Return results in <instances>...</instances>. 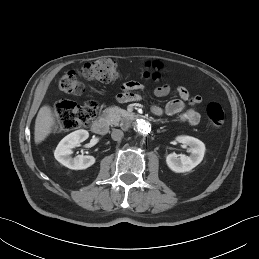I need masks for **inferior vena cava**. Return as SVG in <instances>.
<instances>
[{"label": "inferior vena cava", "instance_id": "602c4592", "mask_svg": "<svg viewBox=\"0 0 259 259\" xmlns=\"http://www.w3.org/2000/svg\"><path fill=\"white\" fill-rule=\"evenodd\" d=\"M123 136H124V133L120 129H113V131L111 133V137L115 141L121 140L123 138Z\"/></svg>", "mask_w": 259, "mask_h": 259}]
</instances>
